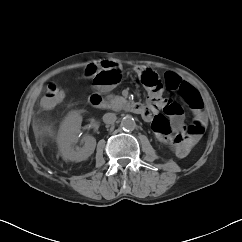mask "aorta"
I'll use <instances>...</instances> for the list:
<instances>
[{
    "label": "aorta",
    "instance_id": "aorta-1",
    "mask_svg": "<svg viewBox=\"0 0 242 242\" xmlns=\"http://www.w3.org/2000/svg\"><path fill=\"white\" fill-rule=\"evenodd\" d=\"M120 125L123 128V130H125V131H132L136 127V122H135V120H134V118L132 116L126 115L121 120V124Z\"/></svg>",
    "mask_w": 242,
    "mask_h": 242
}]
</instances>
